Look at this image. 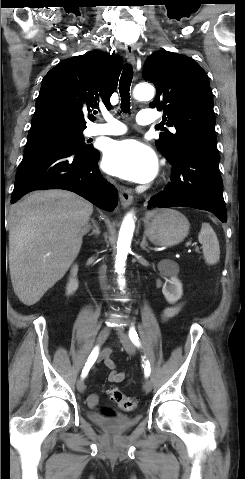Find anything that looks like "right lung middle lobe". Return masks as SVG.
I'll return each instance as SVG.
<instances>
[{"mask_svg":"<svg viewBox=\"0 0 245 479\" xmlns=\"http://www.w3.org/2000/svg\"><path fill=\"white\" fill-rule=\"evenodd\" d=\"M83 130L65 126L31 129L28 133L25 152L55 142H67L82 149H91L92 147L85 146Z\"/></svg>","mask_w":245,"mask_h":479,"instance_id":"obj_1","label":"right lung middle lobe"}]
</instances>
